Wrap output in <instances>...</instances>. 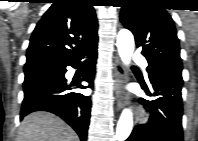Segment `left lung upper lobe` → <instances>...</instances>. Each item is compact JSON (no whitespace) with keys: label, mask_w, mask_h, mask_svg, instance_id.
<instances>
[{"label":"left lung upper lobe","mask_w":198,"mask_h":141,"mask_svg":"<svg viewBox=\"0 0 198 141\" xmlns=\"http://www.w3.org/2000/svg\"><path fill=\"white\" fill-rule=\"evenodd\" d=\"M120 20L135 36L148 61V75L158 71L182 74L180 46L171 16L160 0H127Z\"/></svg>","instance_id":"1"}]
</instances>
